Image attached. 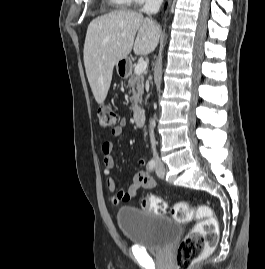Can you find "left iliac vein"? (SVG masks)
<instances>
[{"mask_svg": "<svg viewBox=\"0 0 265 269\" xmlns=\"http://www.w3.org/2000/svg\"><path fill=\"white\" fill-rule=\"evenodd\" d=\"M156 174L161 179L165 176V166L160 159L156 160Z\"/></svg>", "mask_w": 265, "mask_h": 269, "instance_id": "4c4485c4", "label": "left iliac vein"}]
</instances>
